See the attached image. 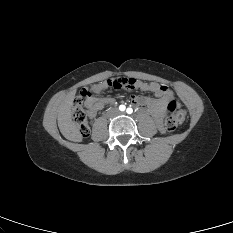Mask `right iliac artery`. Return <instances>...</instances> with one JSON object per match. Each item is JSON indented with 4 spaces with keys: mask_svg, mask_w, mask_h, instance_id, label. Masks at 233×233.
<instances>
[{
    "mask_svg": "<svg viewBox=\"0 0 233 233\" xmlns=\"http://www.w3.org/2000/svg\"><path fill=\"white\" fill-rule=\"evenodd\" d=\"M125 109H126V107H125L124 105H120V106H119V110H120V111H124Z\"/></svg>",
    "mask_w": 233,
    "mask_h": 233,
    "instance_id": "obj_1",
    "label": "right iliac artery"
}]
</instances>
